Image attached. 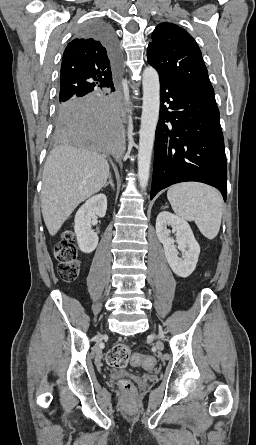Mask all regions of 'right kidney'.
Wrapping results in <instances>:
<instances>
[{
    "mask_svg": "<svg viewBox=\"0 0 256 445\" xmlns=\"http://www.w3.org/2000/svg\"><path fill=\"white\" fill-rule=\"evenodd\" d=\"M107 210V197L98 194L89 198L75 215L74 231L80 250L83 253L93 252L98 245V235L92 230V218L96 215L103 218Z\"/></svg>",
    "mask_w": 256,
    "mask_h": 445,
    "instance_id": "right-kidney-1",
    "label": "right kidney"
}]
</instances>
